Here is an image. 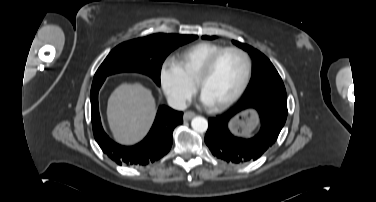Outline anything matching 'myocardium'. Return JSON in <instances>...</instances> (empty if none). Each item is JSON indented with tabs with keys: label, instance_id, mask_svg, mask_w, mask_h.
Instances as JSON below:
<instances>
[{
	"label": "myocardium",
	"instance_id": "1",
	"mask_svg": "<svg viewBox=\"0 0 376 202\" xmlns=\"http://www.w3.org/2000/svg\"><path fill=\"white\" fill-rule=\"evenodd\" d=\"M230 52L236 53L243 58V60L245 62L244 76H243V79H242V82H241L239 88L235 91V93H233L225 101H223L219 104L211 105V108L215 111H222V110L228 108L234 102H236L240 98V96L244 93V91L246 90V88L249 84L251 73H252L251 57L249 56V54L245 50H243L239 47H225L222 50L215 53L212 57H210L206 61V63L203 65V67L201 68V70L199 71V73H198V75L195 79V85H196L197 89L202 93L203 82L211 74V72L213 71L214 67L216 66V64L220 60V58L224 54L230 53Z\"/></svg>",
	"mask_w": 376,
	"mask_h": 202
}]
</instances>
